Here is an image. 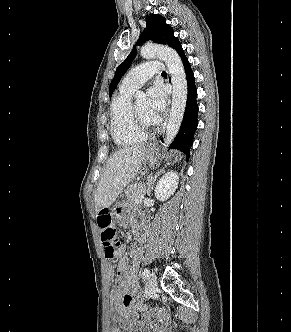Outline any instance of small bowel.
<instances>
[{
	"label": "small bowel",
	"instance_id": "c3829d8e",
	"mask_svg": "<svg viewBox=\"0 0 291 332\" xmlns=\"http://www.w3.org/2000/svg\"><path fill=\"white\" fill-rule=\"evenodd\" d=\"M115 256L119 259L116 273L118 286L110 294L111 311L115 322L127 332H138L140 328L146 332L162 329L166 323L164 313H161L156 321L140 316V312L147 310L146 304L141 300L136 277L142 250L138 247L132 249L130 265L123 245L117 248ZM108 275H113L112 267L108 268Z\"/></svg>",
	"mask_w": 291,
	"mask_h": 332
}]
</instances>
